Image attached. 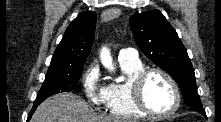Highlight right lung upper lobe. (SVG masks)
<instances>
[{"label": "right lung upper lobe", "instance_id": "obj_1", "mask_svg": "<svg viewBox=\"0 0 221 122\" xmlns=\"http://www.w3.org/2000/svg\"><path fill=\"white\" fill-rule=\"evenodd\" d=\"M96 13L84 12L67 27L50 65L84 64L92 47Z\"/></svg>", "mask_w": 221, "mask_h": 122}]
</instances>
